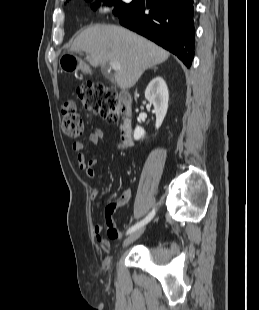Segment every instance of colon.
Returning a JSON list of instances; mask_svg holds the SVG:
<instances>
[{"label": "colon", "mask_w": 259, "mask_h": 310, "mask_svg": "<svg viewBox=\"0 0 259 310\" xmlns=\"http://www.w3.org/2000/svg\"><path fill=\"white\" fill-rule=\"evenodd\" d=\"M77 100L84 108L99 115L109 124H117L124 104L118 92L101 83H87L75 91ZM62 130L75 141H80L85 135V128L76 103L68 100L62 107ZM116 203L109 205L113 209Z\"/></svg>", "instance_id": "1"}]
</instances>
